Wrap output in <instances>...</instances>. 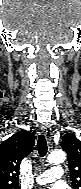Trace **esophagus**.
<instances>
[{"label":"esophagus","mask_w":81,"mask_h":189,"mask_svg":"<svg viewBox=\"0 0 81 189\" xmlns=\"http://www.w3.org/2000/svg\"><path fill=\"white\" fill-rule=\"evenodd\" d=\"M41 132L45 135L46 139L48 140V142L51 141V136H52V128L50 125L46 124V125H42L41 126Z\"/></svg>","instance_id":"34e87169"}]
</instances>
